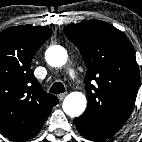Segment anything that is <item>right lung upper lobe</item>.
Wrapping results in <instances>:
<instances>
[{
	"instance_id": "1",
	"label": "right lung upper lobe",
	"mask_w": 142,
	"mask_h": 142,
	"mask_svg": "<svg viewBox=\"0 0 142 142\" xmlns=\"http://www.w3.org/2000/svg\"><path fill=\"white\" fill-rule=\"evenodd\" d=\"M52 30L21 25L0 32V132L27 141L41 130L58 98L42 90L30 66Z\"/></svg>"
}]
</instances>
